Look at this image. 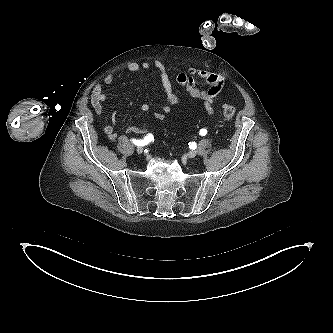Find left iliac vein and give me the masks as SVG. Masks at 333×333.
Wrapping results in <instances>:
<instances>
[{
  "label": "left iliac vein",
  "instance_id": "left-iliac-vein-1",
  "mask_svg": "<svg viewBox=\"0 0 333 333\" xmlns=\"http://www.w3.org/2000/svg\"><path fill=\"white\" fill-rule=\"evenodd\" d=\"M188 158L192 159L196 156V151H190L186 155Z\"/></svg>",
  "mask_w": 333,
  "mask_h": 333
}]
</instances>
